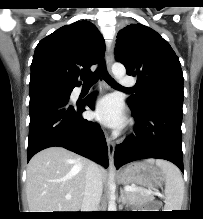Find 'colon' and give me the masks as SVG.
Segmentation results:
<instances>
[{"mask_svg":"<svg viewBox=\"0 0 203 219\" xmlns=\"http://www.w3.org/2000/svg\"><path fill=\"white\" fill-rule=\"evenodd\" d=\"M152 208L154 209V211H160L162 208V203L159 201H155L152 204Z\"/></svg>","mask_w":203,"mask_h":219,"instance_id":"5ec220e1","label":"colon"}]
</instances>
